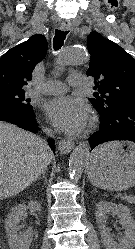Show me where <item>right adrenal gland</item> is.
Returning <instances> with one entry per match:
<instances>
[{
    "instance_id": "obj_1",
    "label": "right adrenal gland",
    "mask_w": 135,
    "mask_h": 249,
    "mask_svg": "<svg viewBox=\"0 0 135 249\" xmlns=\"http://www.w3.org/2000/svg\"><path fill=\"white\" fill-rule=\"evenodd\" d=\"M45 171L42 173V176L41 177H39L38 179H44L45 180V182L47 183V178H46V176H45Z\"/></svg>"
}]
</instances>
